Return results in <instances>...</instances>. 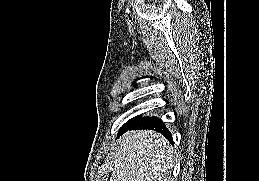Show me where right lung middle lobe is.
Returning a JSON list of instances; mask_svg holds the SVG:
<instances>
[{
    "mask_svg": "<svg viewBox=\"0 0 259 181\" xmlns=\"http://www.w3.org/2000/svg\"><path fill=\"white\" fill-rule=\"evenodd\" d=\"M140 116H137V117H134L132 119H130L129 121H127L122 127L128 125V124H131L132 122L136 121Z\"/></svg>",
    "mask_w": 259,
    "mask_h": 181,
    "instance_id": "right-lung-middle-lobe-1",
    "label": "right lung middle lobe"
}]
</instances>
